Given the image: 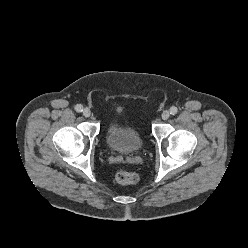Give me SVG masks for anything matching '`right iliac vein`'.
<instances>
[{
	"mask_svg": "<svg viewBox=\"0 0 248 248\" xmlns=\"http://www.w3.org/2000/svg\"><path fill=\"white\" fill-rule=\"evenodd\" d=\"M83 115H84L85 117H89V116L91 115L90 109H89V108H85V109L83 110Z\"/></svg>",
	"mask_w": 248,
	"mask_h": 248,
	"instance_id": "right-iliac-vein-1",
	"label": "right iliac vein"
}]
</instances>
